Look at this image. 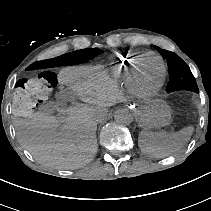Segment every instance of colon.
Masks as SVG:
<instances>
[{"label":"colon","mask_w":211,"mask_h":211,"mask_svg":"<svg viewBox=\"0 0 211 211\" xmlns=\"http://www.w3.org/2000/svg\"><path fill=\"white\" fill-rule=\"evenodd\" d=\"M57 85L52 71H41L35 77L19 80L13 94L12 109L18 118L31 116Z\"/></svg>","instance_id":"5ec220e1"}]
</instances>
